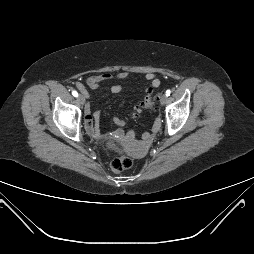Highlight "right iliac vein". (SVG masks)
<instances>
[{
	"mask_svg": "<svg viewBox=\"0 0 254 254\" xmlns=\"http://www.w3.org/2000/svg\"><path fill=\"white\" fill-rule=\"evenodd\" d=\"M77 99H78V101H79L80 104L83 105V104L85 103V98H84L83 95H79Z\"/></svg>",
	"mask_w": 254,
	"mask_h": 254,
	"instance_id": "1",
	"label": "right iliac vein"
}]
</instances>
